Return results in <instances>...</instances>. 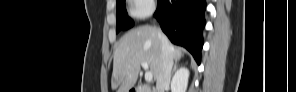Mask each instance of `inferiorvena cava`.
I'll list each match as a JSON object with an SVG mask.
<instances>
[{
    "mask_svg": "<svg viewBox=\"0 0 296 92\" xmlns=\"http://www.w3.org/2000/svg\"><path fill=\"white\" fill-rule=\"evenodd\" d=\"M159 36L162 43V53L160 58L159 75L156 82L157 92H164L169 85L171 79V71L173 66V58L170 52V47L167 37L159 31Z\"/></svg>",
    "mask_w": 296,
    "mask_h": 92,
    "instance_id": "1",
    "label": "inferior vena cava"
}]
</instances>
